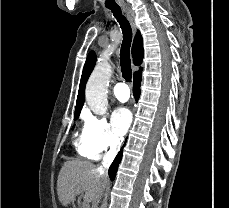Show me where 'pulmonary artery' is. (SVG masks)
Wrapping results in <instances>:
<instances>
[{
	"mask_svg": "<svg viewBox=\"0 0 229 208\" xmlns=\"http://www.w3.org/2000/svg\"><path fill=\"white\" fill-rule=\"evenodd\" d=\"M115 97L120 101H126L130 97V89L125 83H117L113 88Z\"/></svg>",
	"mask_w": 229,
	"mask_h": 208,
	"instance_id": "e3ab8cb5",
	"label": "pulmonary artery"
}]
</instances>
